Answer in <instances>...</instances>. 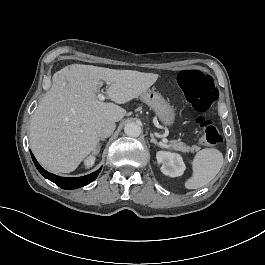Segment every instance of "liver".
I'll list each match as a JSON object with an SVG mask.
<instances>
[{
    "instance_id": "obj_1",
    "label": "liver",
    "mask_w": 265,
    "mask_h": 265,
    "mask_svg": "<svg viewBox=\"0 0 265 265\" xmlns=\"http://www.w3.org/2000/svg\"><path fill=\"white\" fill-rule=\"evenodd\" d=\"M158 74L115 70L93 65H68L52 77V86L35 110L30 124V147L39 163L54 173H70L95 150L97 127L103 120L120 121L126 110L97 99L100 80L115 103L137 98Z\"/></svg>"
}]
</instances>
